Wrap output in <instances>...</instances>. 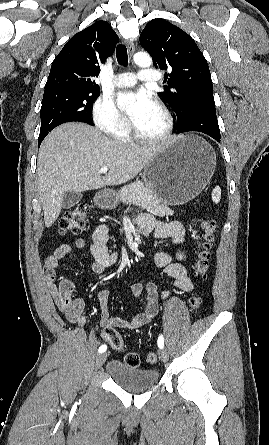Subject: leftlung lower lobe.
I'll return each instance as SVG.
<instances>
[{"label": "left lung lower lobe", "instance_id": "0a47b994", "mask_svg": "<svg viewBox=\"0 0 269 445\" xmlns=\"http://www.w3.org/2000/svg\"><path fill=\"white\" fill-rule=\"evenodd\" d=\"M198 131L205 133L217 141H220V129L217 121L216 110L197 109L194 110L186 121L178 125L176 134Z\"/></svg>", "mask_w": 269, "mask_h": 445}]
</instances>
